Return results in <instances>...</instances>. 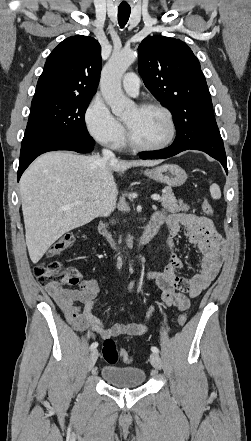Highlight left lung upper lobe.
<instances>
[{
    "mask_svg": "<svg viewBox=\"0 0 251 441\" xmlns=\"http://www.w3.org/2000/svg\"><path fill=\"white\" fill-rule=\"evenodd\" d=\"M138 70L147 89L166 106L176 129L213 107L200 63L189 46L170 37L149 36L138 48Z\"/></svg>",
    "mask_w": 251,
    "mask_h": 441,
    "instance_id": "5c2ea615",
    "label": "left lung upper lobe"
}]
</instances>
